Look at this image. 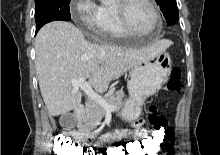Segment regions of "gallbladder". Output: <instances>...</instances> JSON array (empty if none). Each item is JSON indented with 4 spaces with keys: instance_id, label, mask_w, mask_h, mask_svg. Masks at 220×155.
I'll return each instance as SVG.
<instances>
[{
    "instance_id": "1",
    "label": "gallbladder",
    "mask_w": 220,
    "mask_h": 155,
    "mask_svg": "<svg viewBox=\"0 0 220 155\" xmlns=\"http://www.w3.org/2000/svg\"><path fill=\"white\" fill-rule=\"evenodd\" d=\"M69 121H70V123H74V118L71 116V117H69Z\"/></svg>"
}]
</instances>
